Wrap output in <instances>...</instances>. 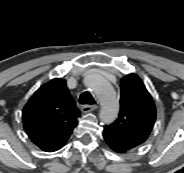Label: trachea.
Segmentation results:
<instances>
[{"instance_id":"1","label":"trachea","mask_w":184,"mask_h":173,"mask_svg":"<svg viewBox=\"0 0 184 173\" xmlns=\"http://www.w3.org/2000/svg\"><path fill=\"white\" fill-rule=\"evenodd\" d=\"M79 103L85 105H92L95 104L96 102L89 92H84L80 95Z\"/></svg>"}]
</instances>
